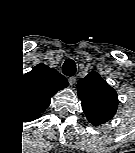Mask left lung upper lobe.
I'll return each mask as SVG.
<instances>
[{"mask_svg":"<svg viewBox=\"0 0 135 153\" xmlns=\"http://www.w3.org/2000/svg\"><path fill=\"white\" fill-rule=\"evenodd\" d=\"M77 88L83 112L91 124L101 125L115 115L117 93L98 73L92 72L80 79Z\"/></svg>","mask_w":135,"mask_h":153,"instance_id":"1","label":"left lung upper lobe"}]
</instances>
